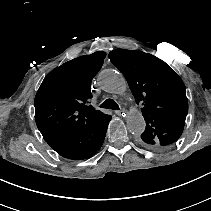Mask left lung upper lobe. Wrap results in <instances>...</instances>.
I'll return each instance as SVG.
<instances>
[{
	"label": "left lung upper lobe",
	"instance_id": "1",
	"mask_svg": "<svg viewBox=\"0 0 211 211\" xmlns=\"http://www.w3.org/2000/svg\"><path fill=\"white\" fill-rule=\"evenodd\" d=\"M111 62L128 81L146 121L143 145L160 151L181 136L188 113V100L181 78L154 55L118 49L109 54Z\"/></svg>",
	"mask_w": 211,
	"mask_h": 211
}]
</instances>
